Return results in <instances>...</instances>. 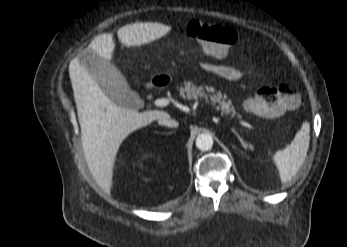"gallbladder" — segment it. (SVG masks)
Instances as JSON below:
<instances>
[{
    "label": "gallbladder",
    "instance_id": "1",
    "mask_svg": "<svg viewBox=\"0 0 347 247\" xmlns=\"http://www.w3.org/2000/svg\"><path fill=\"white\" fill-rule=\"evenodd\" d=\"M79 62L116 104L127 109L137 107L138 94L128 88L123 74L109 61L91 51H83L79 53Z\"/></svg>",
    "mask_w": 347,
    "mask_h": 247
}]
</instances>
